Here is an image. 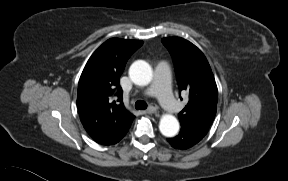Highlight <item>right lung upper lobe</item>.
Returning a JSON list of instances; mask_svg holds the SVG:
<instances>
[{
  "label": "right lung upper lobe",
  "instance_id": "cb5924a9",
  "mask_svg": "<svg viewBox=\"0 0 288 181\" xmlns=\"http://www.w3.org/2000/svg\"><path fill=\"white\" fill-rule=\"evenodd\" d=\"M141 45L142 41L111 38L93 53L81 74L77 94L80 120L99 144L119 142L134 119L122 103L119 78L128 58Z\"/></svg>",
  "mask_w": 288,
  "mask_h": 181
}]
</instances>
